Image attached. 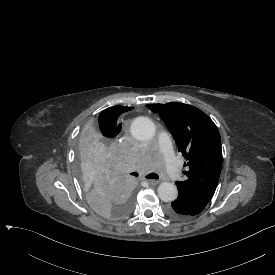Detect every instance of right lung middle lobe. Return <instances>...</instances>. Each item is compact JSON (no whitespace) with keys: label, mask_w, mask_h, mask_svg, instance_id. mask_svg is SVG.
I'll return each mask as SVG.
<instances>
[{"label":"right lung middle lobe","mask_w":275,"mask_h":275,"mask_svg":"<svg viewBox=\"0 0 275 275\" xmlns=\"http://www.w3.org/2000/svg\"><path fill=\"white\" fill-rule=\"evenodd\" d=\"M77 149L78 177L89 205L109 219L126 217L133 206L132 186L122 170L117 145L103 142L100 127L88 123L82 129Z\"/></svg>","instance_id":"1"}]
</instances>
